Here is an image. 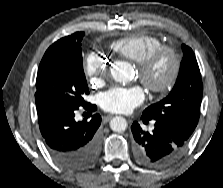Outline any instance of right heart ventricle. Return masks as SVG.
<instances>
[{"mask_svg": "<svg viewBox=\"0 0 223 188\" xmlns=\"http://www.w3.org/2000/svg\"><path fill=\"white\" fill-rule=\"evenodd\" d=\"M162 45V40L155 35L137 34L114 40L110 44V49L127 59L139 62Z\"/></svg>", "mask_w": 223, "mask_h": 188, "instance_id": "1", "label": "right heart ventricle"}]
</instances>
